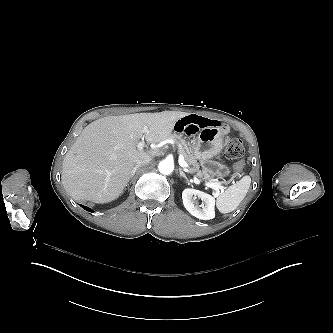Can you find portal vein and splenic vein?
I'll list each match as a JSON object with an SVG mask.
<instances>
[{"mask_svg": "<svg viewBox=\"0 0 333 333\" xmlns=\"http://www.w3.org/2000/svg\"><path fill=\"white\" fill-rule=\"evenodd\" d=\"M148 132H149V131H148V128L145 127V128H144V134L147 135ZM145 145H146V143H145V138L143 137L142 140L138 143V149H139V150H143L144 147H145ZM152 147H153V146H152ZM179 165H180L181 167H187V162L185 161V159H184L183 156H179ZM194 181H195V183H196L197 185H201V181H200L199 179L195 178ZM203 185H204L205 187L213 188V189H216V190L219 188V185H217V184H215V183H213V182H208V181L203 182ZM221 189H222V188H221ZM223 191H224V190L222 189V192H223Z\"/></svg>", "mask_w": 333, "mask_h": 333, "instance_id": "portal-vein-and-splenic-vein-1", "label": "portal vein and splenic vein"}]
</instances>
